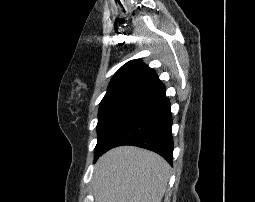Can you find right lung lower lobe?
Instances as JSON below:
<instances>
[{
  "label": "right lung lower lobe",
  "instance_id": "1",
  "mask_svg": "<svg viewBox=\"0 0 255 202\" xmlns=\"http://www.w3.org/2000/svg\"><path fill=\"white\" fill-rule=\"evenodd\" d=\"M170 102L163 97L137 112L109 141L103 153L121 145H133L160 154L172 164L173 139Z\"/></svg>",
  "mask_w": 255,
  "mask_h": 202
}]
</instances>
